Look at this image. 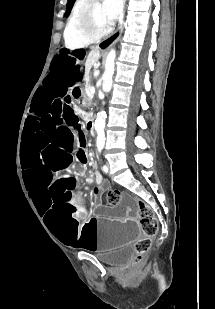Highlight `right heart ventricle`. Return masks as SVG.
Wrapping results in <instances>:
<instances>
[{
    "label": "right heart ventricle",
    "mask_w": 215,
    "mask_h": 309,
    "mask_svg": "<svg viewBox=\"0 0 215 309\" xmlns=\"http://www.w3.org/2000/svg\"><path fill=\"white\" fill-rule=\"evenodd\" d=\"M76 10H73L71 14L69 15L67 22L65 23V29L63 32V38L66 48H83L84 45L80 44L79 42H85L86 36L82 31H73L71 33V30H78L80 25L79 19H73V15ZM72 21V23H71Z\"/></svg>",
    "instance_id": "obj_1"
}]
</instances>
